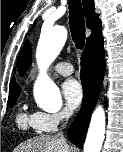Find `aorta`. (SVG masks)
Returning a JSON list of instances; mask_svg holds the SVG:
<instances>
[{
    "label": "aorta",
    "mask_w": 123,
    "mask_h": 152,
    "mask_svg": "<svg viewBox=\"0 0 123 152\" xmlns=\"http://www.w3.org/2000/svg\"><path fill=\"white\" fill-rule=\"evenodd\" d=\"M67 39V30L63 26H55L41 31L36 49V61L40 75L34 86V98L37 106L46 112H57L62 106V98L58 87L46 76L44 71L57 58ZM106 126L105 112L98 106L91 117L84 152H100L104 141Z\"/></svg>",
    "instance_id": "obj_1"
}]
</instances>
